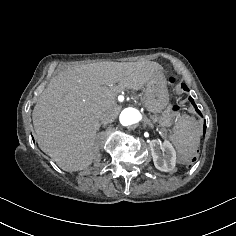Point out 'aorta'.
Returning a JSON list of instances; mask_svg holds the SVG:
<instances>
[{
    "instance_id": "obj_1",
    "label": "aorta",
    "mask_w": 236,
    "mask_h": 236,
    "mask_svg": "<svg viewBox=\"0 0 236 236\" xmlns=\"http://www.w3.org/2000/svg\"><path fill=\"white\" fill-rule=\"evenodd\" d=\"M119 120L123 126H130L141 120V114L137 109L128 107L121 112Z\"/></svg>"
}]
</instances>
